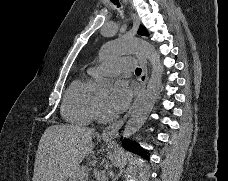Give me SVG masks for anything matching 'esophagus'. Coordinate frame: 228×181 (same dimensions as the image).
<instances>
[{
	"mask_svg": "<svg viewBox=\"0 0 228 181\" xmlns=\"http://www.w3.org/2000/svg\"><path fill=\"white\" fill-rule=\"evenodd\" d=\"M125 3H127V0H123ZM137 27L133 26L132 30H136ZM137 59L139 60L141 67H142V72L141 75L139 76L138 80L141 86V91L139 95L136 96L135 101L129 111L121 118L119 121H116V123L109 124L106 126V128L103 129L102 131V137H116L119 134L120 128L123 126L127 118L130 116L134 108L136 107L140 97L144 93L147 85V80H148V68H147V60L145 59L144 56H140L138 54L135 55Z\"/></svg>",
	"mask_w": 228,
	"mask_h": 181,
	"instance_id": "34e87169",
	"label": "esophagus"
}]
</instances>
